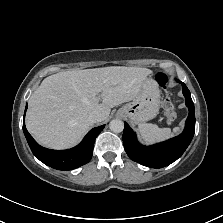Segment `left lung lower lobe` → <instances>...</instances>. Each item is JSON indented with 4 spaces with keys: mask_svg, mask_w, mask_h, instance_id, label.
Segmentation results:
<instances>
[{
    "mask_svg": "<svg viewBox=\"0 0 223 223\" xmlns=\"http://www.w3.org/2000/svg\"><path fill=\"white\" fill-rule=\"evenodd\" d=\"M176 81L182 85V92L189 110L184 131L179 136L165 142L152 146H143L137 141L133 130L125 123L123 144L127 155L133 161L152 168H162L181 157L189 146L195 133L194 103L186 85L178 79Z\"/></svg>",
    "mask_w": 223,
    "mask_h": 223,
    "instance_id": "left-lung-lower-lobe-1",
    "label": "left lung lower lobe"
}]
</instances>
